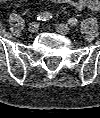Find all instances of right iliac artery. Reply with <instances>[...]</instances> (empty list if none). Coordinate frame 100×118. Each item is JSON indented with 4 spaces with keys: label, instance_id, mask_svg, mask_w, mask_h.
Instances as JSON below:
<instances>
[{
    "label": "right iliac artery",
    "instance_id": "82829eb1",
    "mask_svg": "<svg viewBox=\"0 0 100 118\" xmlns=\"http://www.w3.org/2000/svg\"><path fill=\"white\" fill-rule=\"evenodd\" d=\"M51 18H52V15L49 12H42V13L38 14V16H37V20H39V21H47Z\"/></svg>",
    "mask_w": 100,
    "mask_h": 118
}]
</instances>
